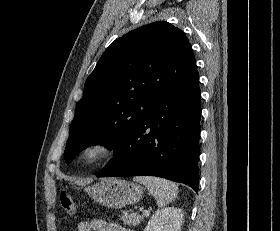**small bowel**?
Returning <instances> with one entry per match:
<instances>
[{
    "mask_svg": "<svg viewBox=\"0 0 280 231\" xmlns=\"http://www.w3.org/2000/svg\"><path fill=\"white\" fill-rule=\"evenodd\" d=\"M78 231H127L122 225L103 219L81 221L77 227Z\"/></svg>",
    "mask_w": 280,
    "mask_h": 231,
    "instance_id": "c3829d8e",
    "label": "small bowel"
}]
</instances>
